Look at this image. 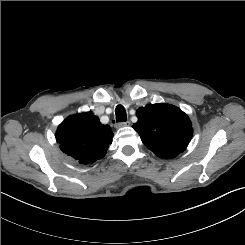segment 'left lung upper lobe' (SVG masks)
<instances>
[{
    "label": "left lung upper lobe",
    "mask_w": 245,
    "mask_h": 245,
    "mask_svg": "<svg viewBox=\"0 0 245 245\" xmlns=\"http://www.w3.org/2000/svg\"><path fill=\"white\" fill-rule=\"evenodd\" d=\"M133 128L142 142L161 158H175L188 146L193 129L189 117L178 107L150 104L136 111Z\"/></svg>",
    "instance_id": "left-lung-upper-lobe-1"
}]
</instances>
